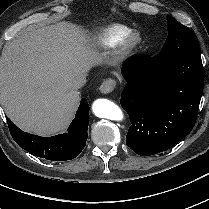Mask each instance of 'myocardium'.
Here are the masks:
<instances>
[{
  "instance_id": "myocardium-1",
  "label": "myocardium",
  "mask_w": 209,
  "mask_h": 209,
  "mask_svg": "<svg viewBox=\"0 0 209 209\" xmlns=\"http://www.w3.org/2000/svg\"><path fill=\"white\" fill-rule=\"evenodd\" d=\"M139 43V34L135 31H130L115 42V53L118 57H123L133 50Z\"/></svg>"
}]
</instances>
